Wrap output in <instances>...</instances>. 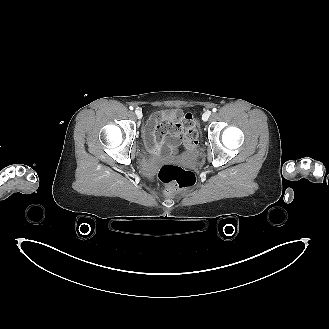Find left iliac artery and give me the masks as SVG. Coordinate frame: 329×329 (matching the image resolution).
Here are the masks:
<instances>
[{"label":"left iliac artery","mask_w":329,"mask_h":329,"mask_svg":"<svg viewBox=\"0 0 329 329\" xmlns=\"http://www.w3.org/2000/svg\"><path fill=\"white\" fill-rule=\"evenodd\" d=\"M212 111H213V112H216V111H217V109H216V108H213V109H212Z\"/></svg>","instance_id":"obj_1"}]
</instances>
